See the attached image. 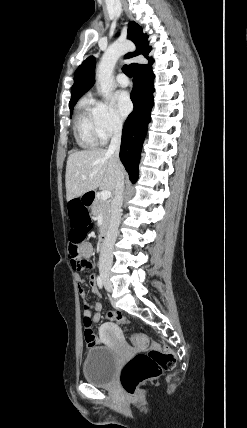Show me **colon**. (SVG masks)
<instances>
[{"mask_svg":"<svg viewBox=\"0 0 247 428\" xmlns=\"http://www.w3.org/2000/svg\"><path fill=\"white\" fill-rule=\"evenodd\" d=\"M65 208H68L66 228L69 230L70 255L76 260L79 270L87 269L89 262L79 257V247L82 239H90L93 230V218L88 217L90 204H84L83 199H65ZM107 320L127 324V319L118 312L110 311ZM84 338L88 346L96 344L92 329V321L88 317L83 319ZM130 345L142 352L134 355L124 366L121 373V385L126 393L135 395L139 386L145 381L156 379L163 372L172 369L176 364L174 353L167 347H162L151 340L145 332H137L129 339Z\"/></svg>","mask_w":247,"mask_h":428,"instance_id":"colon-1","label":"colon"}]
</instances>
